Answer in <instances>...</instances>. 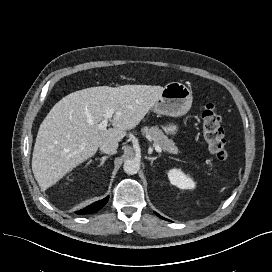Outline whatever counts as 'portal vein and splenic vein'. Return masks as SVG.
<instances>
[{"label": "portal vein and splenic vein", "instance_id": "obj_1", "mask_svg": "<svg viewBox=\"0 0 272 272\" xmlns=\"http://www.w3.org/2000/svg\"><path fill=\"white\" fill-rule=\"evenodd\" d=\"M114 112H115V110L113 108L106 109L105 114H104V119L98 125L100 130L106 129V127L108 126V122L111 120ZM154 149L158 153L162 152L161 147L158 145H154Z\"/></svg>", "mask_w": 272, "mask_h": 272}]
</instances>
